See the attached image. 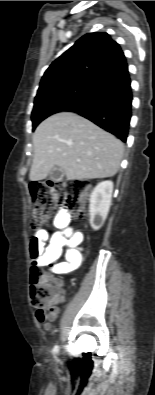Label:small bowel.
I'll return each mask as SVG.
<instances>
[{
	"label": "small bowel",
	"instance_id": "small-bowel-1",
	"mask_svg": "<svg viewBox=\"0 0 155 395\" xmlns=\"http://www.w3.org/2000/svg\"><path fill=\"white\" fill-rule=\"evenodd\" d=\"M53 226L55 231L49 234L45 230L36 232L28 242L27 259L37 270L43 266H50V271L56 274H69L79 268L82 263L83 235L73 232L70 227V215L65 210H59L54 217ZM66 247L65 261L57 262L63 249ZM59 313L58 308L53 310L36 311L35 315L46 329L50 328V322Z\"/></svg>",
	"mask_w": 155,
	"mask_h": 395
}]
</instances>
